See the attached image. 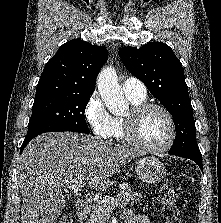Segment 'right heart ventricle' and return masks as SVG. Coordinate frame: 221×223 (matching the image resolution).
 <instances>
[{"label":"right heart ventricle","instance_id":"1","mask_svg":"<svg viewBox=\"0 0 221 223\" xmlns=\"http://www.w3.org/2000/svg\"><path fill=\"white\" fill-rule=\"evenodd\" d=\"M127 97L133 105H138V104L146 102V96L145 97H130V96H127ZM113 122H114L113 137L118 141L124 140L123 118H120V117L113 118Z\"/></svg>","mask_w":221,"mask_h":223}]
</instances>
